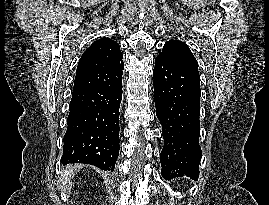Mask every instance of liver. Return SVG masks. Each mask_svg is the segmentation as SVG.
<instances>
[{
    "label": "liver",
    "instance_id": "liver-1",
    "mask_svg": "<svg viewBox=\"0 0 269 205\" xmlns=\"http://www.w3.org/2000/svg\"><path fill=\"white\" fill-rule=\"evenodd\" d=\"M75 169L74 166H70L66 172V174L63 176L64 180L66 181H70V178H71V172H73V170Z\"/></svg>",
    "mask_w": 269,
    "mask_h": 205
}]
</instances>
